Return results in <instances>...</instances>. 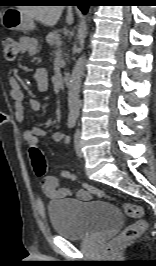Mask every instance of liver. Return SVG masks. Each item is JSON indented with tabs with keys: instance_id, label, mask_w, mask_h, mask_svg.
<instances>
[{
	"instance_id": "6515ba94",
	"label": "liver",
	"mask_w": 156,
	"mask_h": 266,
	"mask_svg": "<svg viewBox=\"0 0 156 266\" xmlns=\"http://www.w3.org/2000/svg\"><path fill=\"white\" fill-rule=\"evenodd\" d=\"M63 6H24L20 7V11L24 13L31 20H37L46 26H54L63 11ZM67 23H73L72 8L69 7L67 10Z\"/></svg>"
}]
</instances>
